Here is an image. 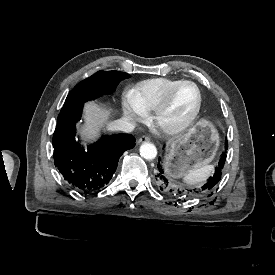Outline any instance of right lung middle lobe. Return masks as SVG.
I'll use <instances>...</instances> for the list:
<instances>
[{"instance_id": "obj_1", "label": "right lung middle lobe", "mask_w": 275, "mask_h": 275, "mask_svg": "<svg viewBox=\"0 0 275 275\" xmlns=\"http://www.w3.org/2000/svg\"><path fill=\"white\" fill-rule=\"evenodd\" d=\"M130 75L119 71H98L77 84L67 96L63 107L84 104L115 91L119 82Z\"/></svg>"}]
</instances>
